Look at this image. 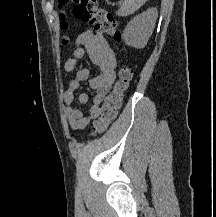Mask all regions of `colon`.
<instances>
[{"label": "colon", "mask_w": 216, "mask_h": 217, "mask_svg": "<svg viewBox=\"0 0 216 217\" xmlns=\"http://www.w3.org/2000/svg\"><path fill=\"white\" fill-rule=\"evenodd\" d=\"M58 5L61 10L60 27L63 31L69 29L64 8L68 5H73L74 17L91 24L98 33L110 36L117 42L121 40V33L117 28L113 15L100 8L97 0H58ZM64 42L67 43L68 39L65 38ZM131 77V69L125 65L121 66L112 91L99 108L98 118L92 126L93 133L99 134L104 132L116 119Z\"/></svg>", "instance_id": "colon-1"}]
</instances>
